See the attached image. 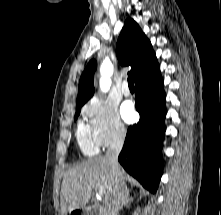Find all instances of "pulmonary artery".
Segmentation results:
<instances>
[{"instance_id": "e3ab8cb5", "label": "pulmonary artery", "mask_w": 221, "mask_h": 215, "mask_svg": "<svg viewBox=\"0 0 221 215\" xmlns=\"http://www.w3.org/2000/svg\"><path fill=\"white\" fill-rule=\"evenodd\" d=\"M122 93L124 96H129L130 95V90H129V87L126 83L123 84L122 86Z\"/></svg>"}]
</instances>
